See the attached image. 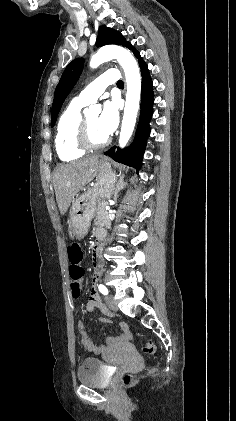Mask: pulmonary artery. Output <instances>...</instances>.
<instances>
[{
	"label": "pulmonary artery",
	"instance_id": "e3ab8cb5",
	"mask_svg": "<svg viewBox=\"0 0 236 421\" xmlns=\"http://www.w3.org/2000/svg\"><path fill=\"white\" fill-rule=\"evenodd\" d=\"M116 76L117 71L115 69H107L105 73L97 79V82L90 84L83 90L81 94L75 98V101L84 106L94 102L108 85L113 84L117 80Z\"/></svg>",
	"mask_w": 236,
	"mask_h": 421
}]
</instances>
